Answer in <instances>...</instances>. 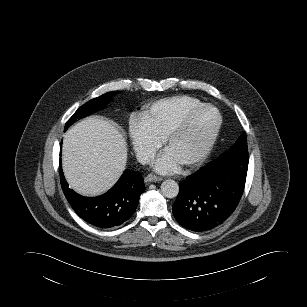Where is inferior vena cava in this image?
<instances>
[{
	"label": "inferior vena cava",
	"instance_id": "602c4592",
	"mask_svg": "<svg viewBox=\"0 0 307 307\" xmlns=\"http://www.w3.org/2000/svg\"><path fill=\"white\" fill-rule=\"evenodd\" d=\"M137 159L142 164H150L154 160V154L146 153V152H139L137 154Z\"/></svg>",
	"mask_w": 307,
	"mask_h": 307
}]
</instances>
